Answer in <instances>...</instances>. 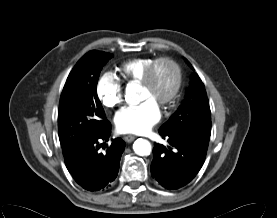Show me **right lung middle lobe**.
Listing matches in <instances>:
<instances>
[{
    "label": "right lung middle lobe",
    "instance_id": "right-lung-middle-lobe-1",
    "mask_svg": "<svg viewBox=\"0 0 277 218\" xmlns=\"http://www.w3.org/2000/svg\"><path fill=\"white\" fill-rule=\"evenodd\" d=\"M112 54L90 51L70 72L58 112L59 140L63 155L102 133L109 121L97 96V81Z\"/></svg>",
    "mask_w": 277,
    "mask_h": 218
}]
</instances>
